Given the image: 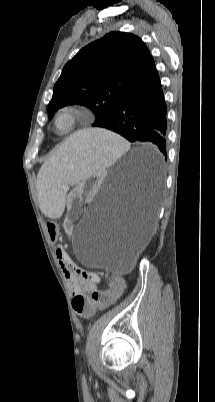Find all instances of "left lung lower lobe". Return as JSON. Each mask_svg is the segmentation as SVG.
<instances>
[{
    "label": "left lung lower lobe",
    "mask_w": 215,
    "mask_h": 402,
    "mask_svg": "<svg viewBox=\"0 0 215 402\" xmlns=\"http://www.w3.org/2000/svg\"><path fill=\"white\" fill-rule=\"evenodd\" d=\"M167 108L156 67L120 102L111 116L97 127L112 130L130 142L154 144L166 157ZM158 188L145 190L150 209L156 205Z\"/></svg>",
    "instance_id": "obj_1"
}]
</instances>
